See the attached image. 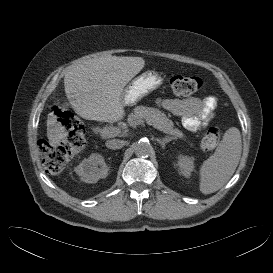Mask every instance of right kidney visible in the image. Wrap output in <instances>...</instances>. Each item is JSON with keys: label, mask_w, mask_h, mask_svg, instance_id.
<instances>
[{"label": "right kidney", "mask_w": 273, "mask_h": 273, "mask_svg": "<svg viewBox=\"0 0 273 273\" xmlns=\"http://www.w3.org/2000/svg\"><path fill=\"white\" fill-rule=\"evenodd\" d=\"M108 167L100 154H92L79 165V175L86 183H95L107 176Z\"/></svg>", "instance_id": "ca27d5eb"}]
</instances>
